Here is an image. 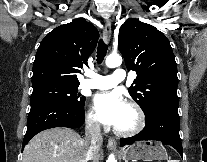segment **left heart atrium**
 I'll use <instances>...</instances> for the list:
<instances>
[{"label":"left heart atrium","mask_w":207,"mask_h":162,"mask_svg":"<svg viewBox=\"0 0 207 162\" xmlns=\"http://www.w3.org/2000/svg\"><path fill=\"white\" fill-rule=\"evenodd\" d=\"M124 106L122 96L116 91L97 94L94 97V107L98 118L107 125H116Z\"/></svg>","instance_id":"39dd6f15"}]
</instances>
